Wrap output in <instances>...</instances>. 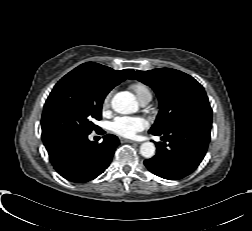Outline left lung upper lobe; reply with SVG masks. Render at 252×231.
I'll return each instance as SVG.
<instances>
[{
	"label": "left lung upper lobe",
	"mask_w": 252,
	"mask_h": 231,
	"mask_svg": "<svg viewBox=\"0 0 252 231\" xmlns=\"http://www.w3.org/2000/svg\"><path fill=\"white\" fill-rule=\"evenodd\" d=\"M130 79L150 86L158 96L160 111L151 134H161L188 120L212 122L210 107L204 88L190 75L171 68L135 71Z\"/></svg>",
	"instance_id": "5c2ea615"
}]
</instances>
